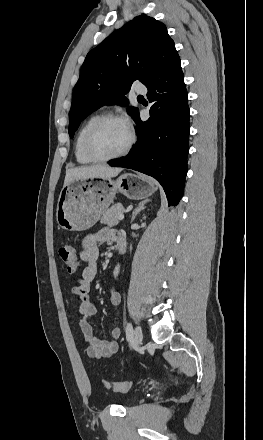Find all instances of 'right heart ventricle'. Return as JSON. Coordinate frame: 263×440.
Segmentation results:
<instances>
[{
    "instance_id": "right-heart-ventricle-1",
    "label": "right heart ventricle",
    "mask_w": 263,
    "mask_h": 440,
    "mask_svg": "<svg viewBox=\"0 0 263 440\" xmlns=\"http://www.w3.org/2000/svg\"><path fill=\"white\" fill-rule=\"evenodd\" d=\"M101 115L99 114H93L90 117H88L83 124L81 125V127L79 128L76 138H75V143H74V155L76 160L80 163V164H90L93 163L94 160H92L90 157L87 156V154L85 153L84 150V139L86 136V133L89 129V127L91 126V124Z\"/></svg>"
}]
</instances>
